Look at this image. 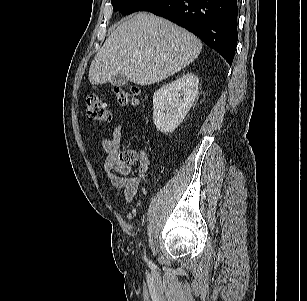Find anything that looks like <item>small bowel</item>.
<instances>
[{"label":"small bowel","mask_w":307,"mask_h":301,"mask_svg":"<svg viewBox=\"0 0 307 301\" xmlns=\"http://www.w3.org/2000/svg\"><path fill=\"white\" fill-rule=\"evenodd\" d=\"M122 130V124L116 125L111 132L103 137L101 147L108 154L103 165L106 176L115 188L122 190L123 201L128 203L134 198L139 188L140 178L148 176L149 160L146 154L142 153L139 157V176H131L132 168L122 162V153L119 151ZM135 213L136 210L126 214L125 217L130 219Z\"/></svg>","instance_id":"1"}]
</instances>
